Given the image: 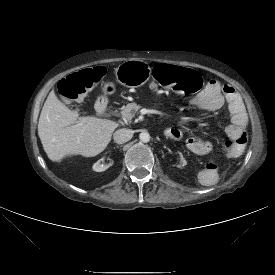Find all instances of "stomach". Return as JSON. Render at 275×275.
<instances>
[{
  "label": "stomach",
  "instance_id": "obj_1",
  "mask_svg": "<svg viewBox=\"0 0 275 275\" xmlns=\"http://www.w3.org/2000/svg\"><path fill=\"white\" fill-rule=\"evenodd\" d=\"M151 76V68L141 60L130 59L121 63L115 69L116 80L123 86L136 88L146 83ZM113 84L103 86L105 93H113Z\"/></svg>",
  "mask_w": 275,
  "mask_h": 275
}]
</instances>
